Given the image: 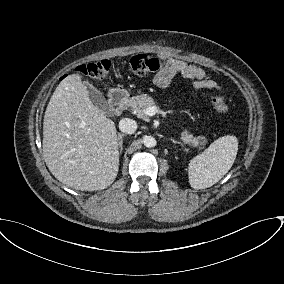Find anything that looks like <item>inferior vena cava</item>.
<instances>
[{
  "mask_svg": "<svg viewBox=\"0 0 284 284\" xmlns=\"http://www.w3.org/2000/svg\"><path fill=\"white\" fill-rule=\"evenodd\" d=\"M119 129L125 134H133L137 130V123L132 119L123 118L119 122Z\"/></svg>",
  "mask_w": 284,
  "mask_h": 284,
  "instance_id": "obj_1",
  "label": "inferior vena cava"
}]
</instances>
